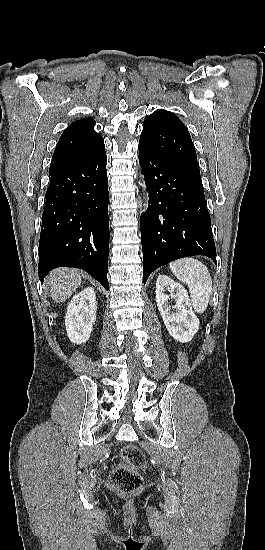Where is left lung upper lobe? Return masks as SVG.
<instances>
[{
  "instance_id": "left-lung-upper-lobe-1",
  "label": "left lung upper lobe",
  "mask_w": 265,
  "mask_h": 550,
  "mask_svg": "<svg viewBox=\"0 0 265 550\" xmlns=\"http://www.w3.org/2000/svg\"><path fill=\"white\" fill-rule=\"evenodd\" d=\"M139 145L201 178L188 129L172 112L158 109L148 116Z\"/></svg>"
}]
</instances>
